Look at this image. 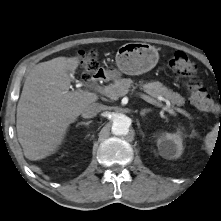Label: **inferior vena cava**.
<instances>
[{"label": "inferior vena cava", "instance_id": "inferior-vena-cava-1", "mask_svg": "<svg viewBox=\"0 0 221 221\" xmlns=\"http://www.w3.org/2000/svg\"><path fill=\"white\" fill-rule=\"evenodd\" d=\"M102 110V105L99 104V103H91L87 106H85L83 109H82V117L83 118H92L94 116H96L99 112H101Z\"/></svg>", "mask_w": 221, "mask_h": 221}]
</instances>
